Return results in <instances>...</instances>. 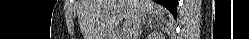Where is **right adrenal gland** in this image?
<instances>
[{"label":"right adrenal gland","instance_id":"right-adrenal-gland-1","mask_svg":"<svg viewBox=\"0 0 249 39\" xmlns=\"http://www.w3.org/2000/svg\"><path fill=\"white\" fill-rule=\"evenodd\" d=\"M141 33H142V30L140 29V30L138 31V33H137V34H139V35H140Z\"/></svg>","mask_w":249,"mask_h":39}]
</instances>
